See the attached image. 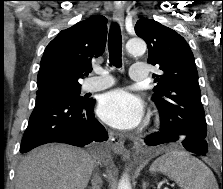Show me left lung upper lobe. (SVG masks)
<instances>
[{
  "mask_svg": "<svg viewBox=\"0 0 223 189\" xmlns=\"http://www.w3.org/2000/svg\"><path fill=\"white\" fill-rule=\"evenodd\" d=\"M135 32L147 43L148 63L161 71L153 75L156 86L152 96L160 111V130L206 140L198 73L188 43L176 31L148 18L137 21Z\"/></svg>",
  "mask_w": 223,
  "mask_h": 189,
  "instance_id": "1",
  "label": "left lung upper lobe"
}]
</instances>
